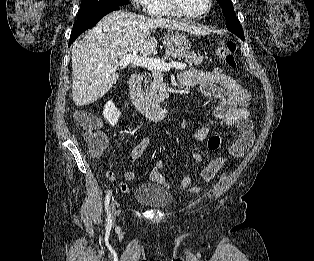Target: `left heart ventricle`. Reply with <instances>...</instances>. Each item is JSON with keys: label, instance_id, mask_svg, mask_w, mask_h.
Here are the masks:
<instances>
[{"label": "left heart ventricle", "instance_id": "1", "mask_svg": "<svg viewBox=\"0 0 314 261\" xmlns=\"http://www.w3.org/2000/svg\"><path fill=\"white\" fill-rule=\"evenodd\" d=\"M182 7L193 14L202 13L208 6V0H179Z\"/></svg>", "mask_w": 314, "mask_h": 261}]
</instances>
